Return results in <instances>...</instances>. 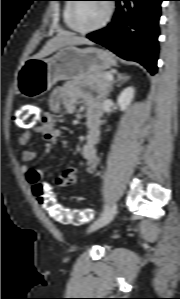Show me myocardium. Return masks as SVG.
Returning a JSON list of instances; mask_svg holds the SVG:
<instances>
[{
    "label": "myocardium",
    "mask_w": 180,
    "mask_h": 299,
    "mask_svg": "<svg viewBox=\"0 0 180 299\" xmlns=\"http://www.w3.org/2000/svg\"><path fill=\"white\" fill-rule=\"evenodd\" d=\"M77 1L78 0H75V2L72 3L71 10H70V23H71L73 30H75L76 32H78L80 34L93 33V32H96V31H99V30L105 28L111 21L113 13H114V6L110 0H104L105 4H106V15H105L104 19L102 20V22L94 27H91V28L78 27L75 22L76 9L79 4V2H77Z\"/></svg>",
    "instance_id": "obj_1"
}]
</instances>
